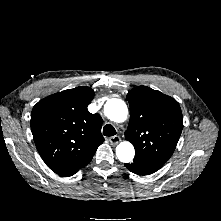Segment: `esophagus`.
I'll return each mask as SVG.
<instances>
[{"instance_id":"34e87169","label":"esophagus","mask_w":221,"mask_h":221,"mask_svg":"<svg viewBox=\"0 0 221 221\" xmlns=\"http://www.w3.org/2000/svg\"><path fill=\"white\" fill-rule=\"evenodd\" d=\"M121 141V138L119 136H112L109 138V142L111 145L115 146Z\"/></svg>"}]
</instances>
